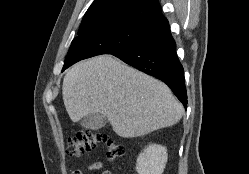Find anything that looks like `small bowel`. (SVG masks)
Segmentation results:
<instances>
[{
  "mask_svg": "<svg viewBox=\"0 0 249 174\" xmlns=\"http://www.w3.org/2000/svg\"><path fill=\"white\" fill-rule=\"evenodd\" d=\"M102 169H103V163L101 161H94L83 169L73 170L72 174H85L86 172L100 171ZM101 174H113V173L110 170H102Z\"/></svg>",
  "mask_w": 249,
  "mask_h": 174,
  "instance_id": "small-bowel-1",
  "label": "small bowel"
}]
</instances>
